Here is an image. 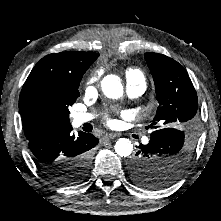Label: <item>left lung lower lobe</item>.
<instances>
[{"label":"left lung lower lobe","instance_id":"0a47b994","mask_svg":"<svg viewBox=\"0 0 221 221\" xmlns=\"http://www.w3.org/2000/svg\"><path fill=\"white\" fill-rule=\"evenodd\" d=\"M174 134L175 133L170 128L156 130L151 134L150 141L148 144H146V145L141 144L139 146V150L137 151L136 155L132 158V160L130 161V164H129V170H130V175H131L132 180L139 179L140 177H144V173L147 172L145 170V169H147V164H146L144 157L149 152H151L155 148L156 145H158L162 141L173 140ZM157 171L158 170H155L154 172H152L153 175L149 176V177H152L149 180L152 184H155L154 182H158V180L162 179V178H160L162 176L159 175L160 173H158Z\"/></svg>","mask_w":221,"mask_h":221}]
</instances>
